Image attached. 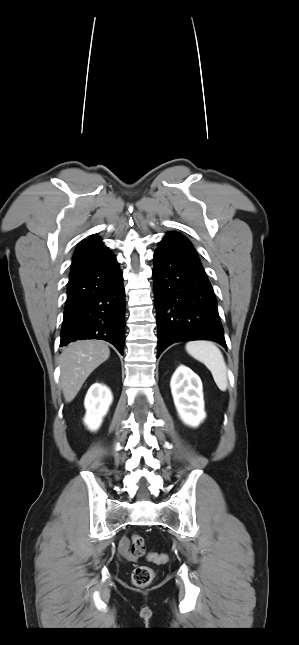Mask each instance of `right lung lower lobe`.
Segmentation results:
<instances>
[{
	"instance_id": "1",
	"label": "right lung lower lobe",
	"mask_w": 299,
	"mask_h": 645,
	"mask_svg": "<svg viewBox=\"0 0 299 645\" xmlns=\"http://www.w3.org/2000/svg\"><path fill=\"white\" fill-rule=\"evenodd\" d=\"M125 290L116 257L93 263L71 274L60 346L76 340L99 339L123 355Z\"/></svg>"
}]
</instances>
